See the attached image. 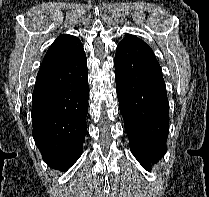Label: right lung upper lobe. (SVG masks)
I'll list each match as a JSON object with an SVG mask.
<instances>
[{
    "label": "right lung upper lobe",
    "instance_id": "1",
    "mask_svg": "<svg viewBox=\"0 0 209 197\" xmlns=\"http://www.w3.org/2000/svg\"><path fill=\"white\" fill-rule=\"evenodd\" d=\"M82 50L83 48L79 38L68 34L59 36L49 47L44 56L37 78L50 74L63 67Z\"/></svg>",
    "mask_w": 209,
    "mask_h": 197
}]
</instances>
